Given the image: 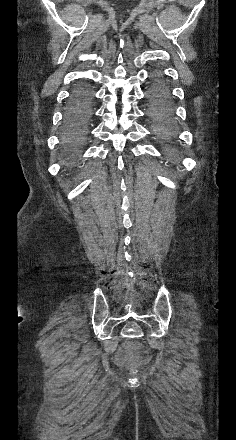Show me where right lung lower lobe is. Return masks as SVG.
<instances>
[{
	"label": "right lung lower lobe",
	"instance_id": "1",
	"mask_svg": "<svg viewBox=\"0 0 236 440\" xmlns=\"http://www.w3.org/2000/svg\"><path fill=\"white\" fill-rule=\"evenodd\" d=\"M77 89L73 91L70 98L69 107L66 110L64 117V128L76 125L79 121V109L82 105V99L78 96L73 97L77 94Z\"/></svg>",
	"mask_w": 236,
	"mask_h": 440
}]
</instances>
